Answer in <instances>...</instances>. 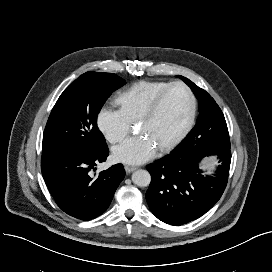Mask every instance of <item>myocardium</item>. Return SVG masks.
Wrapping results in <instances>:
<instances>
[{"label": "myocardium", "mask_w": 272, "mask_h": 272, "mask_svg": "<svg viewBox=\"0 0 272 272\" xmlns=\"http://www.w3.org/2000/svg\"><path fill=\"white\" fill-rule=\"evenodd\" d=\"M175 87H180L186 92L188 96V100H189V109H188L187 117L183 125L180 127V129L167 142H165L158 148V150L161 152H164L172 148L187 133V131L189 130V128L191 127L194 121L196 108H197V102L191 88L185 83L180 81L172 82L168 84L152 99V101L149 103V105L147 106V108L145 109V111L142 113L139 120L137 121L139 125L149 120L150 118H152L158 111L166 94Z\"/></svg>", "instance_id": "1"}]
</instances>
